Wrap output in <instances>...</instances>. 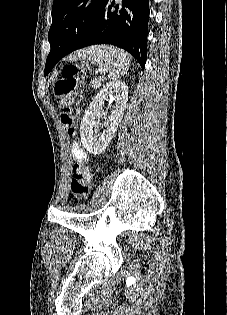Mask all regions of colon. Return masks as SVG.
Segmentation results:
<instances>
[{"label": "colon", "mask_w": 227, "mask_h": 315, "mask_svg": "<svg viewBox=\"0 0 227 315\" xmlns=\"http://www.w3.org/2000/svg\"><path fill=\"white\" fill-rule=\"evenodd\" d=\"M85 69L80 65L69 64L63 68L62 78L55 83L54 94L59 101L60 119L68 134L76 133L77 118L74 112L64 103L69 99L78 84L84 82ZM91 171L88 166L76 164L70 182L72 195L77 199H85L90 193Z\"/></svg>", "instance_id": "obj_1"}]
</instances>
